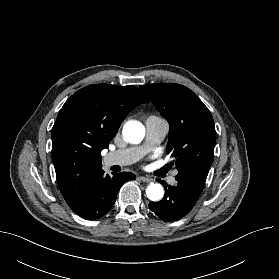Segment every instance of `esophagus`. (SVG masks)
Here are the masks:
<instances>
[{
	"mask_svg": "<svg viewBox=\"0 0 279 279\" xmlns=\"http://www.w3.org/2000/svg\"><path fill=\"white\" fill-rule=\"evenodd\" d=\"M138 179L142 182H151L153 180L149 177H144V176H140V177H138Z\"/></svg>",
	"mask_w": 279,
	"mask_h": 279,
	"instance_id": "obj_1",
	"label": "esophagus"
}]
</instances>
